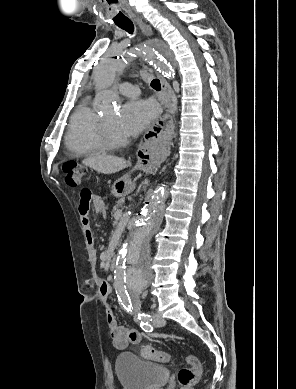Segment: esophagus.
<instances>
[{
    "label": "esophagus",
    "instance_id": "esophagus-1",
    "mask_svg": "<svg viewBox=\"0 0 296 389\" xmlns=\"http://www.w3.org/2000/svg\"><path fill=\"white\" fill-rule=\"evenodd\" d=\"M136 22L144 35H152V29L147 23L140 19H137ZM157 76L161 82L162 91L168 99L169 108L171 110L175 109L176 102L173 89L167 80L158 72ZM173 121L174 116L171 112H160L157 118L154 119L153 126H148L146 141L138 149V160L135 168L156 169L158 163L163 162L164 157L168 153V148L165 144L172 139Z\"/></svg>",
    "mask_w": 296,
    "mask_h": 389
}]
</instances>
